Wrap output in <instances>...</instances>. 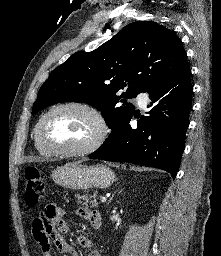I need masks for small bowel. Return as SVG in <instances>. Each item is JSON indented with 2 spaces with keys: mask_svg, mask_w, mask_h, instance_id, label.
I'll return each mask as SVG.
<instances>
[{
  "mask_svg": "<svg viewBox=\"0 0 221 256\" xmlns=\"http://www.w3.org/2000/svg\"><path fill=\"white\" fill-rule=\"evenodd\" d=\"M76 214L88 220L93 228H99L101 217L98 211L88 208H78ZM69 230V223L66 219V212L53 204L46 205L40 215L33 220L32 235L40 246L43 256H52V244L64 256H79L74 247L66 242L63 234ZM78 243L82 248L90 249L92 241L89 237L81 235ZM87 256H101L98 250H91Z\"/></svg>",
  "mask_w": 221,
  "mask_h": 256,
  "instance_id": "c3829d8e",
  "label": "small bowel"
}]
</instances>
